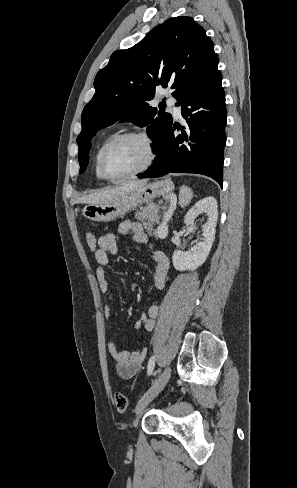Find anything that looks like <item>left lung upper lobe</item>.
Segmentation results:
<instances>
[{
  "label": "left lung upper lobe",
  "mask_w": 297,
  "mask_h": 488,
  "mask_svg": "<svg viewBox=\"0 0 297 488\" xmlns=\"http://www.w3.org/2000/svg\"><path fill=\"white\" fill-rule=\"evenodd\" d=\"M218 62L212 40L191 17L170 18L135 46L115 51L97 73L95 94L82 112L80 173L88 165L91 139L120 119L147 126L158 153L172 117L149 105L156 86H171L180 105L214 77Z\"/></svg>",
  "instance_id": "1"
}]
</instances>
